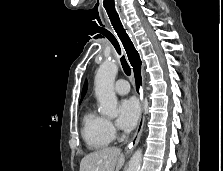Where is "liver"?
<instances>
[{
	"instance_id": "obj_1",
	"label": "liver",
	"mask_w": 223,
	"mask_h": 171,
	"mask_svg": "<svg viewBox=\"0 0 223 171\" xmlns=\"http://www.w3.org/2000/svg\"><path fill=\"white\" fill-rule=\"evenodd\" d=\"M125 156L116 147H107L85 156L80 162L79 171H119Z\"/></svg>"
}]
</instances>
